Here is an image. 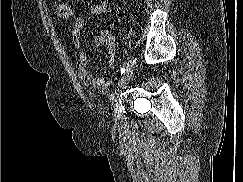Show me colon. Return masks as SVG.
Here are the masks:
<instances>
[{"mask_svg":"<svg viewBox=\"0 0 243 182\" xmlns=\"http://www.w3.org/2000/svg\"><path fill=\"white\" fill-rule=\"evenodd\" d=\"M55 13L62 19H69L73 15V9L68 3H57L54 6Z\"/></svg>","mask_w":243,"mask_h":182,"instance_id":"5ec220e1","label":"colon"}]
</instances>
